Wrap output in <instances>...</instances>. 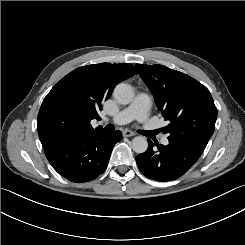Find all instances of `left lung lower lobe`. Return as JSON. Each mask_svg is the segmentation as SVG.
Here are the masks:
<instances>
[{
	"instance_id": "0a47b994",
	"label": "left lung lower lobe",
	"mask_w": 245,
	"mask_h": 245,
	"mask_svg": "<svg viewBox=\"0 0 245 245\" xmlns=\"http://www.w3.org/2000/svg\"><path fill=\"white\" fill-rule=\"evenodd\" d=\"M146 152L136 157L139 170L146 177L166 182L183 176L199 159L204 150L188 147L179 142L169 140V144L152 143L148 140ZM155 145L157 149L154 148Z\"/></svg>"
}]
</instances>
